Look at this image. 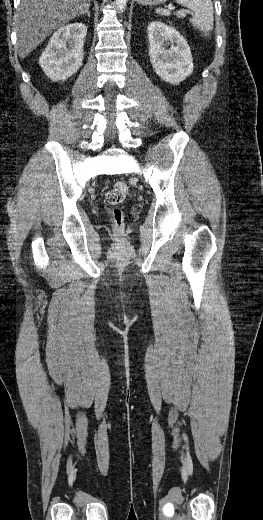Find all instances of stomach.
I'll return each mask as SVG.
<instances>
[{
	"instance_id": "0dacf381",
	"label": "stomach",
	"mask_w": 263,
	"mask_h": 520,
	"mask_svg": "<svg viewBox=\"0 0 263 520\" xmlns=\"http://www.w3.org/2000/svg\"><path fill=\"white\" fill-rule=\"evenodd\" d=\"M165 1L166 0H136V2L141 5H157Z\"/></svg>"
}]
</instances>
